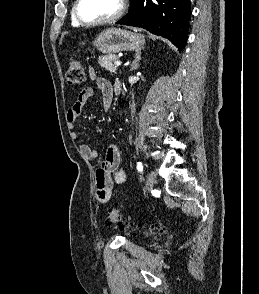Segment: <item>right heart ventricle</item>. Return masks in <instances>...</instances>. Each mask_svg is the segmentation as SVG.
Listing matches in <instances>:
<instances>
[{
	"label": "right heart ventricle",
	"mask_w": 259,
	"mask_h": 294,
	"mask_svg": "<svg viewBox=\"0 0 259 294\" xmlns=\"http://www.w3.org/2000/svg\"><path fill=\"white\" fill-rule=\"evenodd\" d=\"M71 24L74 27H80L81 25L75 20L74 16H73V10L71 12Z\"/></svg>",
	"instance_id": "obj_1"
}]
</instances>
